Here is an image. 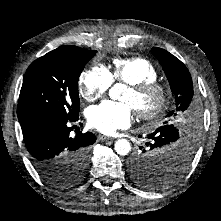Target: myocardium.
<instances>
[{"label": "myocardium", "instance_id": "myocardium-1", "mask_svg": "<svg viewBox=\"0 0 221 221\" xmlns=\"http://www.w3.org/2000/svg\"><path fill=\"white\" fill-rule=\"evenodd\" d=\"M128 89L137 97L155 96L156 103L147 109H135L138 118L153 120L160 117L170 103V90L168 86L159 81H145L135 85H129Z\"/></svg>", "mask_w": 221, "mask_h": 221}]
</instances>
